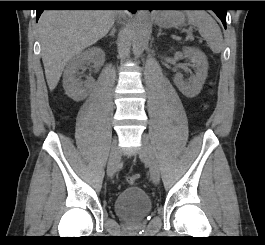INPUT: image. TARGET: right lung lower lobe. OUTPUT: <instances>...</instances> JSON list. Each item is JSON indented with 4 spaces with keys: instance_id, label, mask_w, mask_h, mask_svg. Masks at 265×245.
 Segmentation results:
<instances>
[{
    "instance_id": "98d812e1",
    "label": "right lung lower lobe",
    "mask_w": 265,
    "mask_h": 245,
    "mask_svg": "<svg viewBox=\"0 0 265 245\" xmlns=\"http://www.w3.org/2000/svg\"><path fill=\"white\" fill-rule=\"evenodd\" d=\"M54 6H71L67 3H54ZM79 7H129L132 13L136 12L135 5L130 3L129 1H84L77 5ZM36 21H38L41 13L44 11L43 9L36 10Z\"/></svg>"
}]
</instances>
